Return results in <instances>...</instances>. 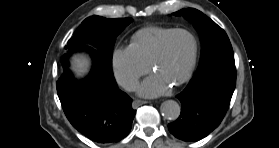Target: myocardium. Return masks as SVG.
Wrapping results in <instances>:
<instances>
[{"label":"myocardium","mask_w":279,"mask_h":148,"mask_svg":"<svg viewBox=\"0 0 279 148\" xmlns=\"http://www.w3.org/2000/svg\"><path fill=\"white\" fill-rule=\"evenodd\" d=\"M179 33H186L192 38L193 50H192V55H191L188 67L186 68L184 73L174 82L175 86H179V85L185 83L194 71L196 61H197V55H198V41L193 32H191L188 29H184V28L174 29L171 32H169L162 40L156 54L154 55V57L150 63V70L154 71L155 66L158 64L159 61H161L163 59V57L166 54L167 44H168L169 40L174 35L179 34Z\"/></svg>","instance_id":"obj_1"}]
</instances>
